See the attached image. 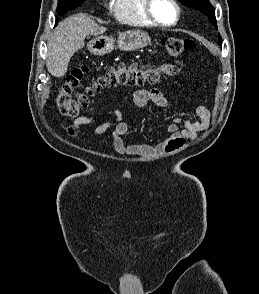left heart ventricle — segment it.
<instances>
[{
	"label": "left heart ventricle",
	"instance_id": "left-heart-ventricle-1",
	"mask_svg": "<svg viewBox=\"0 0 259 294\" xmlns=\"http://www.w3.org/2000/svg\"><path fill=\"white\" fill-rule=\"evenodd\" d=\"M153 13L164 23H172L176 17L175 9L169 0H154Z\"/></svg>",
	"mask_w": 259,
	"mask_h": 294
}]
</instances>
